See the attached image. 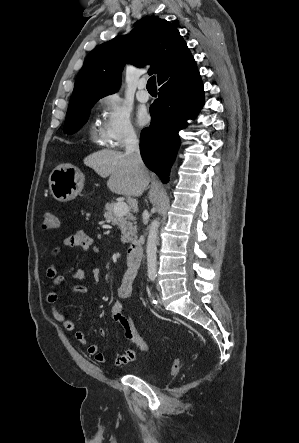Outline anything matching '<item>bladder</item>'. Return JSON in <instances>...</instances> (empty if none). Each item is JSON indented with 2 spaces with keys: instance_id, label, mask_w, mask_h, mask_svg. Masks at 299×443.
<instances>
[{
  "instance_id": "31cf9c89",
  "label": "bladder",
  "mask_w": 299,
  "mask_h": 443,
  "mask_svg": "<svg viewBox=\"0 0 299 443\" xmlns=\"http://www.w3.org/2000/svg\"><path fill=\"white\" fill-rule=\"evenodd\" d=\"M131 372L133 375L143 379L144 381L150 384H157L163 379L161 375L151 371L150 369L141 364L135 366Z\"/></svg>"
}]
</instances>
